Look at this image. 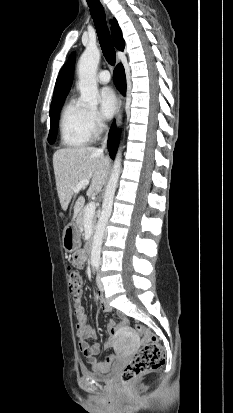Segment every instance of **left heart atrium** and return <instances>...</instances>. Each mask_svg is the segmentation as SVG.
<instances>
[{
    "label": "left heart atrium",
    "instance_id": "left-heart-atrium-1",
    "mask_svg": "<svg viewBox=\"0 0 233 413\" xmlns=\"http://www.w3.org/2000/svg\"><path fill=\"white\" fill-rule=\"evenodd\" d=\"M101 113L105 118H111L117 111L118 99L110 87H105L100 92Z\"/></svg>",
    "mask_w": 233,
    "mask_h": 413
}]
</instances>
